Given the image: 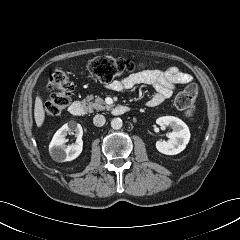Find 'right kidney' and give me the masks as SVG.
<instances>
[{
	"label": "right kidney",
	"instance_id": "obj_1",
	"mask_svg": "<svg viewBox=\"0 0 240 240\" xmlns=\"http://www.w3.org/2000/svg\"><path fill=\"white\" fill-rule=\"evenodd\" d=\"M68 133H74L77 137L76 142L72 145L65 144ZM82 135V127L75 121H70L58 129L49 145V152L53 160L66 162L76 159L83 149Z\"/></svg>",
	"mask_w": 240,
	"mask_h": 240
}]
</instances>
